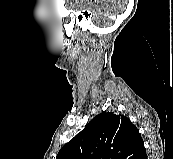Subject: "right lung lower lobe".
<instances>
[{
  "label": "right lung lower lobe",
  "instance_id": "obj_1",
  "mask_svg": "<svg viewBox=\"0 0 173 159\" xmlns=\"http://www.w3.org/2000/svg\"><path fill=\"white\" fill-rule=\"evenodd\" d=\"M137 159H147L146 150H145L143 153H141V154L137 157Z\"/></svg>",
  "mask_w": 173,
  "mask_h": 159
}]
</instances>
